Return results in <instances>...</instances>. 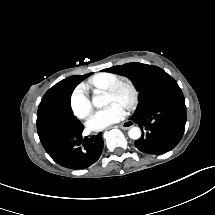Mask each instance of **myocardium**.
<instances>
[{
    "label": "myocardium",
    "instance_id": "1",
    "mask_svg": "<svg viewBox=\"0 0 215 215\" xmlns=\"http://www.w3.org/2000/svg\"><path fill=\"white\" fill-rule=\"evenodd\" d=\"M117 90L121 94L120 103L124 106H130L133 103L135 98V90L132 87V85L128 83L119 84L117 87Z\"/></svg>",
    "mask_w": 215,
    "mask_h": 215
}]
</instances>
